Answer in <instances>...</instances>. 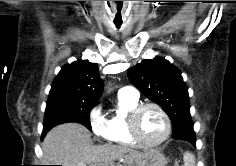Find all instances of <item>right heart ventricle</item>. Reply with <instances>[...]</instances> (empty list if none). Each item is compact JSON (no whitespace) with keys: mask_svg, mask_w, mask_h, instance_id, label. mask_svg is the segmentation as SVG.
<instances>
[{"mask_svg":"<svg viewBox=\"0 0 236 166\" xmlns=\"http://www.w3.org/2000/svg\"><path fill=\"white\" fill-rule=\"evenodd\" d=\"M139 105L138 99L118 97V106L121 111L108 119V140L122 147H137L138 144L131 138L127 126L128 114Z\"/></svg>","mask_w":236,"mask_h":166,"instance_id":"right-heart-ventricle-1","label":"right heart ventricle"}]
</instances>
